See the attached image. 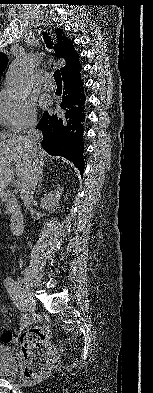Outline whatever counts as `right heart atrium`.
Here are the masks:
<instances>
[{"instance_id":"d8ad5b80","label":"right heart atrium","mask_w":153,"mask_h":393,"mask_svg":"<svg viewBox=\"0 0 153 393\" xmlns=\"http://www.w3.org/2000/svg\"><path fill=\"white\" fill-rule=\"evenodd\" d=\"M0 122L12 134L31 130L36 124L35 104L28 99H7L0 106Z\"/></svg>"}]
</instances>
